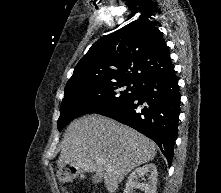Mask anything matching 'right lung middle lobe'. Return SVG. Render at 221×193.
<instances>
[{
  "mask_svg": "<svg viewBox=\"0 0 221 193\" xmlns=\"http://www.w3.org/2000/svg\"><path fill=\"white\" fill-rule=\"evenodd\" d=\"M140 87V82L122 81L65 89L57 124L58 130L61 131L79 116L119 107L136 96Z\"/></svg>",
  "mask_w": 221,
  "mask_h": 193,
  "instance_id": "obj_1",
  "label": "right lung middle lobe"
}]
</instances>
